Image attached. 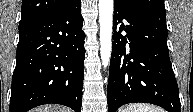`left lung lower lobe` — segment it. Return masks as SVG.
<instances>
[{
    "instance_id": "left-lung-lower-lobe-1",
    "label": "left lung lower lobe",
    "mask_w": 193,
    "mask_h": 112,
    "mask_svg": "<svg viewBox=\"0 0 193 112\" xmlns=\"http://www.w3.org/2000/svg\"><path fill=\"white\" fill-rule=\"evenodd\" d=\"M113 31L108 112L136 102L180 112L178 85L167 46L166 12L130 13L114 5ZM122 31L127 35H121Z\"/></svg>"
}]
</instances>
